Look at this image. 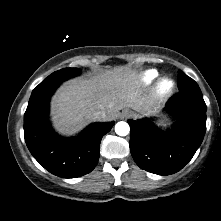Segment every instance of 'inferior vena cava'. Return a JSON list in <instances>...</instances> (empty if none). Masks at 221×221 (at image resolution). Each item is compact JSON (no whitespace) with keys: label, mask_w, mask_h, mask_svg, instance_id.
<instances>
[{"label":"inferior vena cava","mask_w":221,"mask_h":221,"mask_svg":"<svg viewBox=\"0 0 221 221\" xmlns=\"http://www.w3.org/2000/svg\"><path fill=\"white\" fill-rule=\"evenodd\" d=\"M105 118H106V113L104 111H95L93 113L94 120L101 121V120H104Z\"/></svg>","instance_id":"inferior-vena-cava-1"}]
</instances>
